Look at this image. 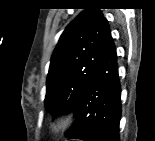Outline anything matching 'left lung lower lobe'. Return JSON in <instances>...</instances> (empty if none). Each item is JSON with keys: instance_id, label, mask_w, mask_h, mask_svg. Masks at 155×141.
Listing matches in <instances>:
<instances>
[{"instance_id": "0a47b994", "label": "left lung lower lobe", "mask_w": 155, "mask_h": 141, "mask_svg": "<svg viewBox=\"0 0 155 141\" xmlns=\"http://www.w3.org/2000/svg\"><path fill=\"white\" fill-rule=\"evenodd\" d=\"M77 121L66 134L83 141H119L121 86L113 40L106 46L95 73L76 108Z\"/></svg>"}]
</instances>
